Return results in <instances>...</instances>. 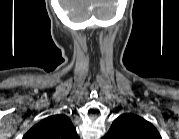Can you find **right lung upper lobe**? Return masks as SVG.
Here are the masks:
<instances>
[{"label":"right lung upper lobe","instance_id":"cb5924a9","mask_svg":"<svg viewBox=\"0 0 179 139\" xmlns=\"http://www.w3.org/2000/svg\"><path fill=\"white\" fill-rule=\"evenodd\" d=\"M25 139H78L71 120L63 114L45 118L34 125Z\"/></svg>","mask_w":179,"mask_h":139}]
</instances>
